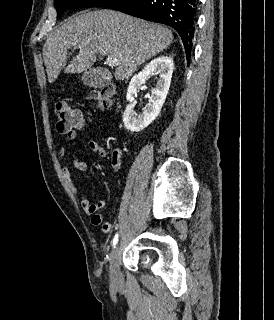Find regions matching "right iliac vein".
I'll return each mask as SVG.
<instances>
[{
    "label": "right iliac vein",
    "mask_w": 274,
    "mask_h": 320,
    "mask_svg": "<svg viewBox=\"0 0 274 320\" xmlns=\"http://www.w3.org/2000/svg\"><path fill=\"white\" fill-rule=\"evenodd\" d=\"M121 249L119 244L114 246L110 256V278L114 287H121L123 279L120 271Z\"/></svg>",
    "instance_id": "right-iliac-vein-1"
}]
</instances>
